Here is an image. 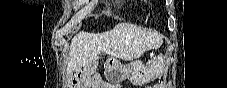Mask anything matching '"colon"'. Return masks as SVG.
Here are the masks:
<instances>
[{
    "mask_svg": "<svg viewBox=\"0 0 227 88\" xmlns=\"http://www.w3.org/2000/svg\"><path fill=\"white\" fill-rule=\"evenodd\" d=\"M98 72V68L97 67H95L94 69H93V71H92V74H96ZM154 88H159V86L158 85H156V86H154Z\"/></svg>",
    "mask_w": 227,
    "mask_h": 88,
    "instance_id": "obj_1",
    "label": "colon"
}]
</instances>
